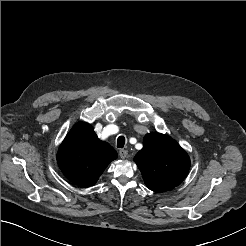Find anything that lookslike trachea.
Here are the masks:
<instances>
[{"label":"trachea","mask_w":246,"mask_h":246,"mask_svg":"<svg viewBox=\"0 0 246 246\" xmlns=\"http://www.w3.org/2000/svg\"><path fill=\"white\" fill-rule=\"evenodd\" d=\"M125 144V137L124 136H119L117 139V147L118 148H123Z\"/></svg>","instance_id":"trachea-1"}]
</instances>
